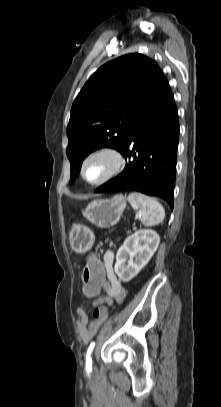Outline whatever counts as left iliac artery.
<instances>
[{
  "label": "left iliac artery",
  "instance_id": "obj_1",
  "mask_svg": "<svg viewBox=\"0 0 221 407\" xmlns=\"http://www.w3.org/2000/svg\"><path fill=\"white\" fill-rule=\"evenodd\" d=\"M94 346H95V342H92L86 353V369L88 372L91 371V368H92V359H91L90 355L94 349Z\"/></svg>",
  "mask_w": 221,
  "mask_h": 407
}]
</instances>
